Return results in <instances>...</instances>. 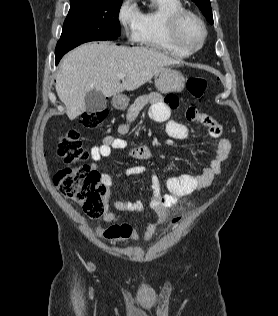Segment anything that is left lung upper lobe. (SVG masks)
Returning <instances> with one entry per match:
<instances>
[{
    "mask_svg": "<svg viewBox=\"0 0 278 316\" xmlns=\"http://www.w3.org/2000/svg\"><path fill=\"white\" fill-rule=\"evenodd\" d=\"M196 5L200 8L207 21L213 24V15L211 10V4L209 0H193Z\"/></svg>",
    "mask_w": 278,
    "mask_h": 316,
    "instance_id": "1",
    "label": "left lung upper lobe"
}]
</instances>
